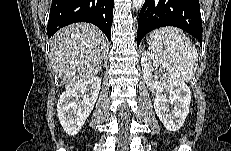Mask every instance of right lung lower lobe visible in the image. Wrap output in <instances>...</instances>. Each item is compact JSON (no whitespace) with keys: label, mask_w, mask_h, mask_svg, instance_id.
<instances>
[{"label":"right lung lower lobe","mask_w":231,"mask_h":151,"mask_svg":"<svg viewBox=\"0 0 231 151\" xmlns=\"http://www.w3.org/2000/svg\"><path fill=\"white\" fill-rule=\"evenodd\" d=\"M114 0H52L48 20V38L60 28L75 22L99 27L111 40Z\"/></svg>","instance_id":"right-lung-lower-lobe-1"}]
</instances>
